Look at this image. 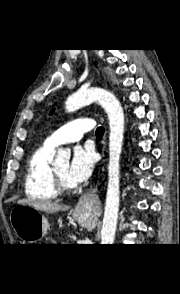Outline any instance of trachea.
<instances>
[{
	"mask_svg": "<svg viewBox=\"0 0 180 294\" xmlns=\"http://www.w3.org/2000/svg\"><path fill=\"white\" fill-rule=\"evenodd\" d=\"M103 134H104V128H103V127H98V128L96 129V136H97L98 138H101V137L103 136Z\"/></svg>",
	"mask_w": 180,
	"mask_h": 294,
	"instance_id": "3493384b",
	"label": "trachea"
}]
</instances>
